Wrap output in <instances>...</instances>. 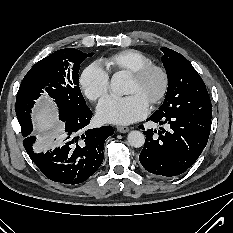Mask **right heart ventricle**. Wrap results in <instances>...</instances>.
Listing matches in <instances>:
<instances>
[{
	"mask_svg": "<svg viewBox=\"0 0 233 233\" xmlns=\"http://www.w3.org/2000/svg\"><path fill=\"white\" fill-rule=\"evenodd\" d=\"M102 62L109 70L126 74H130L143 66L152 64L150 57L136 49L118 51L102 60Z\"/></svg>",
	"mask_w": 233,
	"mask_h": 233,
	"instance_id": "obj_1",
	"label": "right heart ventricle"
}]
</instances>
